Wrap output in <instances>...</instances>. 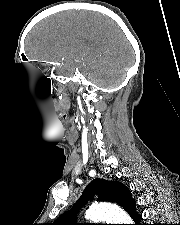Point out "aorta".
I'll return each mask as SVG.
<instances>
[{"label": "aorta", "instance_id": "obj_1", "mask_svg": "<svg viewBox=\"0 0 180 225\" xmlns=\"http://www.w3.org/2000/svg\"><path fill=\"white\" fill-rule=\"evenodd\" d=\"M85 217L94 222L106 221L107 224H132L130 216L113 204H96L89 207Z\"/></svg>", "mask_w": 180, "mask_h": 225}]
</instances>
